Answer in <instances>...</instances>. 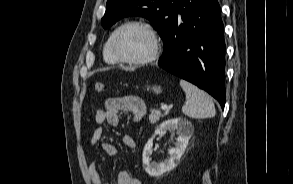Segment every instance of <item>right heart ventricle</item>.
<instances>
[{"label": "right heart ventricle", "instance_id": "1", "mask_svg": "<svg viewBox=\"0 0 293 184\" xmlns=\"http://www.w3.org/2000/svg\"><path fill=\"white\" fill-rule=\"evenodd\" d=\"M113 33L106 40V42L103 46V51H102L104 61L110 65H114V64L118 63V61L114 58V56L111 52V49H110V41H111V37H112Z\"/></svg>", "mask_w": 293, "mask_h": 184}]
</instances>
